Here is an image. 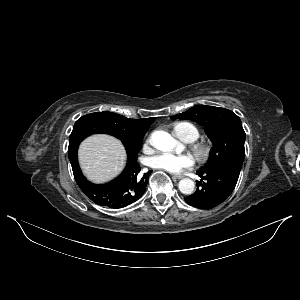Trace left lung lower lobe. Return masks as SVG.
<instances>
[{
	"label": "left lung lower lobe",
	"instance_id": "left-lung-lower-lobe-1",
	"mask_svg": "<svg viewBox=\"0 0 300 300\" xmlns=\"http://www.w3.org/2000/svg\"><path fill=\"white\" fill-rule=\"evenodd\" d=\"M240 170L231 165H223L206 172L198 171L197 175L201 177V182H197V190L184 200L189 205L200 209H212L218 206L234 190ZM203 179L206 181L204 182Z\"/></svg>",
	"mask_w": 300,
	"mask_h": 300
}]
</instances>
